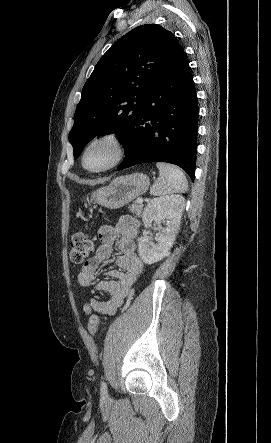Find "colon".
Here are the masks:
<instances>
[{"label": "colon", "mask_w": 271, "mask_h": 443, "mask_svg": "<svg viewBox=\"0 0 271 443\" xmlns=\"http://www.w3.org/2000/svg\"><path fill=\"white\" fill-rule=\"evenodd\" d=\"M70 260L75 265L85 263L87 258L93 253L95 244L93 239L83 233L73 234L70 239ZM88 328L92 335H97L99 331V318L92 314L88 318Z\"/></svg>", "instance_id": "5ec220e1"}]
</instances>
